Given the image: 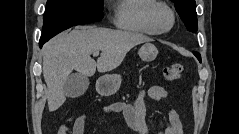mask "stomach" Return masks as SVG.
<instances>
[{
	"mask_svg": "<svg viewBox=\"0 0 239 134\" xmlns=\"http://www.w3.org/2000/svg\"><path fill=\"white\" fill-rule=\"evenodd\" d=\"M158 50L151 42H146L139 49V56L143 61H152L156 58ZM121 76L118 74H106L101 76L96 82L97 92L103 96L115 94L121 86Z\"/></svg>",
	"mask_w": 239,
	"mask_h": 134,
	"instance_id": "0dacf381",
	"label": "stomach"
}]
</instances>
